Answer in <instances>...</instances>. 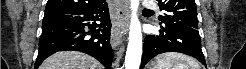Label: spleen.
<instances>
[{
	"label": "spleen",
	"instance_id": "3e777b00",
	"mask_svg": "<svg viewBox=\"0 0 246 69\" xmlns=\"http://www.w3.org/2000/svg\"><path fill=\"white\" fill-rule=\"evenodd\" d=\"M155 69H200L197 61L187 55L168 52L159 55Z\"/></svg>",
	"mask_w": 246,
	"mask_h": 69
}]
</instances>
